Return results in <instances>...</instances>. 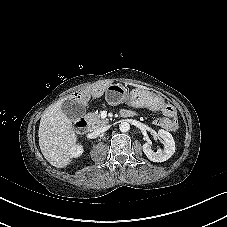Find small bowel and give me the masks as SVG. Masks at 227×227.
<instances>
[{"mask_svg": "<svg viewBox=\"0 0 227 227\" xmlns=\"http://www.w3.org/2000/svg\"><path fill=\"white\" fill-rule=\"evenodd\" d=\"M163 112L165 117H161L155 120V124L165 130L173 131L177 127V120L173 117L174 110L171 106L166 105L163 107ZM123 115L128 117L131 116L132 113L130 111H124Z\"/></svg>", "mask_w": 227, "mask_h": 227, "instance_id": "small-bowel-1", "label": "small bowel"}]
</instances>
